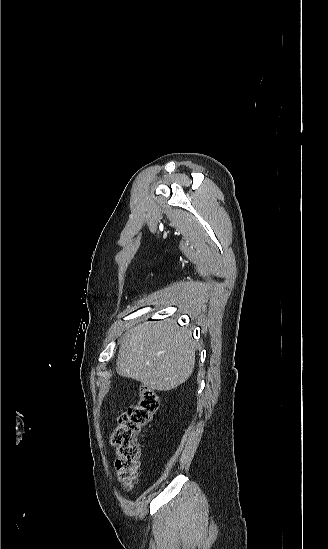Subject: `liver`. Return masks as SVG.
I'll list each match as a JSON object with an SVG mask.
<instances>
[{"mask_svg":"<svg viewBox=\"0 0 328 549\" xmlns=\"http://www.w3.org/2000/svg\"><path fill=\"white\" fill-rule=\"evenodd\" d=\"M191 331L176 321H146L122 337L116 371L153 391H172L191 377L195 345Z\"/></svg>","mask_w":328,"mask_h":549,"instance_id":"6515ba94","label":"liver"}]
</instances>
